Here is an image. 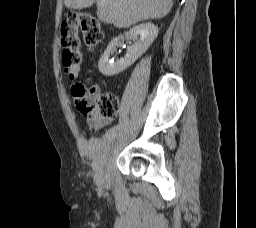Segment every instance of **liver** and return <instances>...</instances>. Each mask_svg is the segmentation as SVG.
<instances>
[{"instance_id":"obj_1","label":"liver","mask_w":256,"mask_h":228,"mask_svg":"<svg viewBox=\"0 0 256 228\" xmlns=\"http://www.w3.org/2000/svg\"><path fill=\"white\" fill-rule=\"evenodd\" d=\"M64 3L70 9H82L96 3L97 17L117 28L163 18L173 6V0H64Z\"/></svg>"}]
</instances>
